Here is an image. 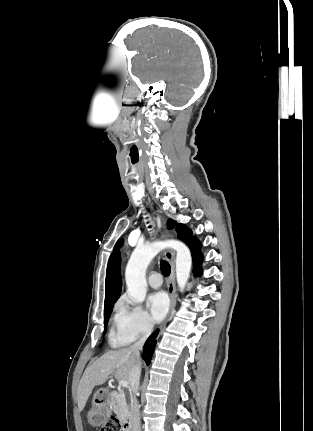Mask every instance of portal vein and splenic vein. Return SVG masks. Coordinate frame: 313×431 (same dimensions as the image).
Masks as SVG:
<instances>
[{"label":"portal vein and splenic vein","instance_id":"1","mask_svg":"<svg viewBox=\"0 0 313 431\" xmlns=\"http://www.w3.org/2000/svg\"><path fill=\"white\" fill-rule=\"evenodd\" d=\"M119 385L123 388H127L128 387V381L121 380V381H119Z\"/></svg>","mask_w":313,"mask_h":431}]
</instances>
